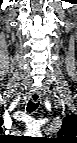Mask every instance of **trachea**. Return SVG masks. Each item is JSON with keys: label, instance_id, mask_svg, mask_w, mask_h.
<instances>
[{"label": "trachea", "instance_id": "obj_1", "mask_svg": "<svg viewBox=\"0 0 77 143\" xmlns=\"http://www.w3.org/2000/svg\"><path fill=\"white\" fill-rule=\"evenodd\" d=\"M39 103L32 102L31 100L27 104V112H34L38 108Z\"/></svg>", "mask_w": 77, "mask_h": 143}]
</instances>
